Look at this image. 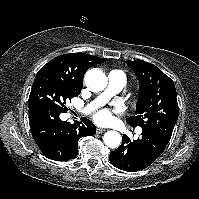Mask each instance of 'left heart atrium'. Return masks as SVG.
<instances>
[{
    "instance_id": "obj_1",
    "label": "left heart atrium",
    "mask_w": 199,
    "mask_h": 199,
    "mask_svg": "<svg viewBox=\"0 0 199 199\" xmlns=\"http://www.w3.org/2000/svg\"><path fill=\"white\" fill-rule=\"evenodd\" d=\"M97 123L104 124L111 120V113L108 109H101L94 114Z\"/></svg>"
}]
</instances>
